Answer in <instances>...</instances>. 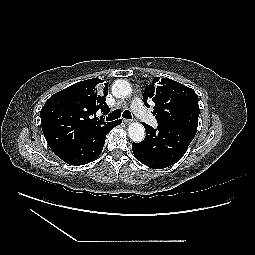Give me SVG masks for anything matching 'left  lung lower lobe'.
Returning <instances> with one entry per match:
<instances>
[{
    "instance_id": "left-lung-lower-lobe-1",
    "label": "left lung lower lobe",
    "mask_w": 255,
    "mask_h": 255,
    "mask_svg": "<svg viewBox=\"0 0 255 255\" xmlns=\"http://www.w3.org/2000/svg\"><path fill=\"white\" fill-rule=\"evenodd\" d=\"M146 136L141 143H133L135 157L153 169L169 167L179 161L196 135L194 129L158 124L157 129L142 123Z\"/></svg>"
}]
</instances>
